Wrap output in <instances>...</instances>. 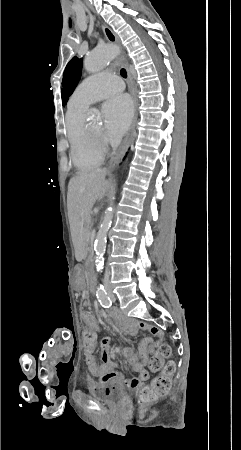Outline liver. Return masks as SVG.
I'll return each mask as SVG.
<instances>
[{"label": "liver", "instance_id": "liver-1", "mask_svg": "<svg viewBox=\"0 0 241 450\" xmlns=\"http://www.w3.org/2000/svg\"><path fill=\"white\" fill-rule=\"evenodd\" d=\"M107 170L77 172L68 186L69 218L74 230V244H83V228L90 220L91 210L96 200H102L110 186L105 180Z\"/></svg>", "mask_w": 241, "mask_h": 450}]
</instances>
